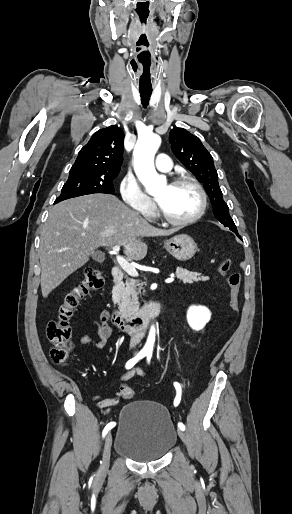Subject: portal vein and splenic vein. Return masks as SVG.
Returning <instances> with one entry per match:
<instances>
[{"instance_id": "18ae733b", "label": "portal vein and splenic vein", "mask_w": 292, "mask_h": 514, "mask_svg": "<svg viewBox=\"0 0 292 514\" xmlns=\"http://www.w3.org/2000/svg\"><path fill=\"white\" fill-rule=\"evenodd\" d=\"M120 250V246H114L112 252L110 254H115L116 260L118 264H120L121 268H123L124 272H127L129 276H138L137 270H135L134 266L132 264H129L125 258H122V256H118ZM174 278H168V280H165L166 284H171L173 282Z\"/></svg>"}]
</instances>
